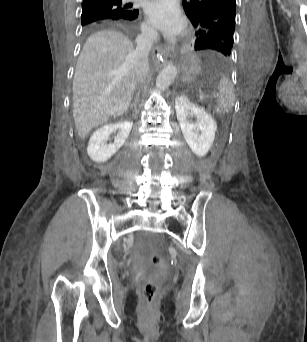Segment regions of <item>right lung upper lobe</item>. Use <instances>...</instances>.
<instances>
[{"instance_id":"obj_1","label":"right lung upper lobe","mask_w":307,"mask_h":342,"mask_svg":"<svg viewBox=\"0 0 307 342\" xmlns=\"http://www.w3.org/2000/svg\"><path fill=\"white\" fill-rule=\"evenodd\" d=\"M82 9H108L115 12L111 17L82 25L83 32L105 26L131 28L139 13L137 9H132L128 4H124L122 0H83Z\"/></svg>"}]
</instances>
